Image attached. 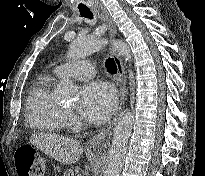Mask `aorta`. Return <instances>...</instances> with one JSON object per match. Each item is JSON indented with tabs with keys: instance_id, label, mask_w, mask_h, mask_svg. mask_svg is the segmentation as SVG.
Returning a JSON list of instances; mask_svg holds the SVG:
<instances>
[{
	"instance_id": "obj_1",
	"label": "aorta",
	"mask_w": 205,
	"mask_h": 176,
	"mask_svg": "<svg viewBox=\"0 0 205 176\" xmlns=\"http://www.w3.org/2000/svg\"><path fill=\"white\" fill-rule=\"evenodd\" d=\"M107 43L106 40L96 36L74 40L69 47L68 57L70 59H80L99 51ZM113 47L125 60H131L130 50L126 43L121 40H114ZM60 99L74 101L77 95L75 85L69 80H62L56 89ZM134 123V114L130 110L123 111L116 120L113 129V138L109 154L107 157V167L105 176H119L122 170L128 139Z\"/></svg>"
}]
</instances>
